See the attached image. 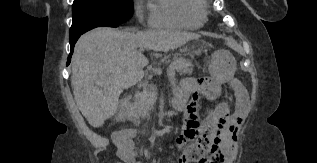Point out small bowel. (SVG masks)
I'll return each mask as SVG.
<instances>
[{
  "label": "small bowel",
  "instance_id": "small-bowel-1",
  "mask_svg": "<svg viewBox=\"0 0 317 163\" xmlns=\"http://www.w3.org/2000/svg\"><path fill=\"white\" fill-rule=\"evenodd\" d=\"M220 82L212 77L199 80L186 79L174 89L172 105L184 112L183 130L176 139L181 150L178 163H230L234 156L237 131L249 111L246 97L237 103L230 113L221 105L213 128L202 125L199 119L200 99L215 100L220 91ZM118 155L123 163H139L135 156L134 132L126 131L116 139Z\"/></svg>",
  "mask_w": 317,
  "mask_h": 163
}]
</instances>
